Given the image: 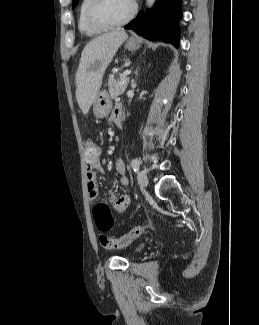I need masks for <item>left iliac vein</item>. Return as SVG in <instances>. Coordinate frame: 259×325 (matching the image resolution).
Instances as JSON below:
<instances>
[{"label":"left iliac vein","instance_id":"4c4485c4","mask_svg":"<svg viewBox=\"0 0 259 325\" xmlns=\"http://www.w3.org/2000/svg\"><path fill=\"white\" fill-rule=\"evenodd\" d=\"M137 179H138V183L142 187H146L148 185V176H147V173L145 171L138 172Z\"/></svg>","mask_w":259,"mask_h":325}]
</instances>
